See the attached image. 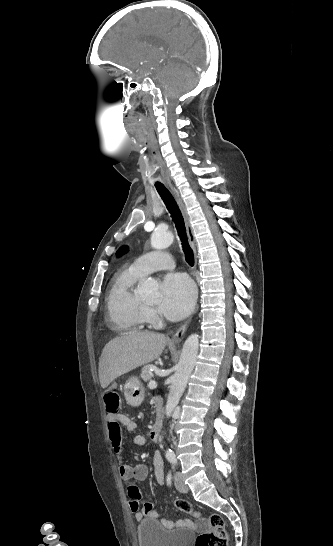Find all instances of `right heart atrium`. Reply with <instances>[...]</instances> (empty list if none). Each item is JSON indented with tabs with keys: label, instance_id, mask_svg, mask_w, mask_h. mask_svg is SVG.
<instances>
[{
	"label": "right heart atrium",
	"instance_id": "right-heart-atrium-1",
	"mask_svg": "<svg viewBox=\"0 0 333 546\" xmlns=\"http://www.w3.org/2000/svg\"><path fill=\"white\" fill-rule=\"evenodd\" d=\"M145 314H146V317H147L148 320H156L157 319V316H156V313H155L154 309H152L150 307L145 308Z\"/></svg>",
	"mask_w": 333,
	"mask_h": 546
}]
</instances>
